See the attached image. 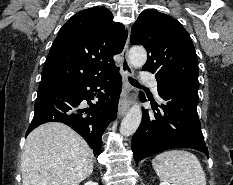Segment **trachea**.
Masks as SVG:
<instances>
[{
    "instance_id": "trachea-1",
    "label": "trachea",
    "mask_w": 233,
    "mask_h": 185,
    "mask_svg": "<svg viewBox=\"0 0 233 185\" xmlns=\"http://www.w3.org/2000/svg\"><path fill=\"white\" fill-rule=\"evenodd\" d=\"M129 81L132 84H138V82L136 80L132 79L131 77H129Z\"/></svg>"
}]
</instances>
